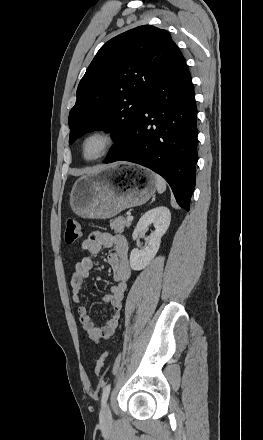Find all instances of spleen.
Segmentation results:
<instances>
[{"label": "spleen", "instance_id": "spleen-1", "mask_svg": "<svg viewBox=\"0 0 263 440\" xmlns=\"http://www.w3.org/2000/svg\"><path fill=\"white\" fill-rule=\"evenodd\" d=\"M155 179L158 193H163L166 190V181L158 174H155Z\"/></svg>", "mask_w": 263, "mask_h": 440}]
</instances>
